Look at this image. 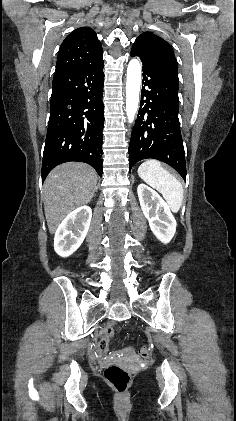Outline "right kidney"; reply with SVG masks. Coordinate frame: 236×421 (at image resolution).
Here are the masks:
<instances>
[{
    "mask_svg": "<svg viewBox=\"0 0 236 421\" xmlns=\"http://www.w3.org/2000/svg\"><path fill=\"white\" fill-rule=\"evenodd\" d=\"M90 206H78L59 225L54 237V251L60 257H69L82 245L90 227Z\"/></svg>",
    "mask_w": 236,
    "mask_h": 421,
    "instance_id": "ca27d5eb",
    "label": "right kidney"
}]
</instances>
